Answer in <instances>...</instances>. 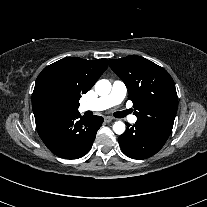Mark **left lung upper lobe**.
I'll return each instance as SVG.
<instances>
[{"mask_svg": "<svg viewBox=\"0 0 207 207\" xmlns=\"http://www.w3.org/2000/svg\"><path fill=\"white\" fill-rule=\"evenodd\" d=\"M109 65L126 84L138 121L173 127L178 98L165 69L136 55L109 60Z\"/></svg>", "mask_w": 207, "mask_h": 207, "instance_id": "5c2ea615", "label": "left lung upper lobe"}]
</instances>
